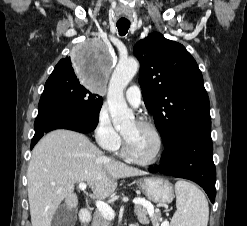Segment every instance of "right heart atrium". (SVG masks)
Listing matches in <instances>:
<instances>
[{"label": "right heart atrium", "mask_w": 247, "mask_h": 226, "mask_svg": "<svg viewBox=\"0 0 247 226\" xmlns=\"http://www.w3.org/2000/svg\"><path fill=\"white\" fill-rule=\"evenodd\" d=\"M96 142L105 150H115L121 142V137L113 127L108 108L103 105L97 114L94 127Z\"/></svg>", "instance_id": "right-heart-atrium-1"}]
</instances>
